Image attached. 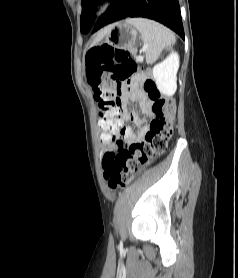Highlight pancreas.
Returning <instances> with one entry per match:
<instances>
[{
    "instance_id": "1",
    "label": "pancreas",
    "mask_w": 238,
    "mask_h": 278,
    "mask_svg": "<svg viewBox=\"0 0 238 278\" xmlns=\"http://www.w3.org/2000/svg\"><path fill=\"white\" fill-rule=\"evenodd\" d=\"M134 55L136 54V50L135 49H131L130 50Z\"/></svg>"
}]
</instances>
